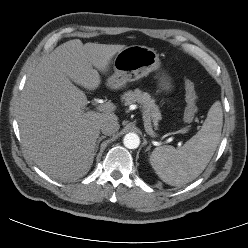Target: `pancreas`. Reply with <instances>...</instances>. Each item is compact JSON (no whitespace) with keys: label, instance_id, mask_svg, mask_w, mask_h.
I'll return each instance as SVG.
<instances>
[{"label":"pancreas","instance_id":"obj_1","mask_svg":"<svg viewBox=\"0 0 248 248\" xmlns=\"http://www.w3.org/2000/svg\"><path fill=\"white\" fill-rule=\"evenodd\" d=\"M125 105H130L135 102L140 103L143 108V113L145 114V123L149 126L151 121L154 126L158 125V121L161 119V113L158 105L155 103V99L147 92H143L140 89H135L134 91H128L124 93L122 97Z\"/></svg>","mask_w":248,"mask_h":248}]
</instances>
